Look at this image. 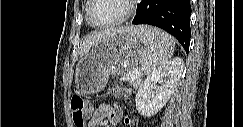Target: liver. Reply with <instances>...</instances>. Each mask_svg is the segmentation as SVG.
<instances>
[{"instance_id":"obj_1","label":"liver","mask_w":243,"mask_h":127,"mask_svg":"<svg viewBox=\"0 0 243 127\" xmlns=\"http://www.w3.org/2000/svg\"><path fill=\"white\" fill-rule=\"evenodd\" d=\"M135 28H138V30L141 29V26L139 27H121L117 29H111V30H102V31H95L91 34H89L83 41L82 43V48H81V54L85 55L89 52L91 47L99 40L111 36L117 32L121 31H128V30H133Z\"/></svg>"}]
</instances>
